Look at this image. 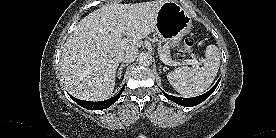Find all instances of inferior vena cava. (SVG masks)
Wrapping results in <instances>:
<instances>
[{
  "label": "inferior vena cava",
  "mask_w": 276,
  "mask_h": 138,
  "mask_svg": "<svg viewBox=\"0 0 276 138\" xmlns=\"http://www.w3.org/2000/svg\"><path fill=\"white\" fill-rule=\"evenodd\" d=\"M137 57V51L136 50H126L119 54L118 59L120 62L123 63H131L133 62Z\"/></svg>",
  "instance_id": "602c4592"
}]
</instances>
